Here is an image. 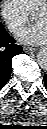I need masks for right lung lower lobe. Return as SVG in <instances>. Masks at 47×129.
<instances>
[{"instance_id":"right-lung-lower-lobe-1","label":"right lung lower lobe","mask_w":47,"mask_h":129,"mask_svg":"<svg viewBox=\"0 0 47 129\" xmlns=\"http://www.w3.org/2000/svg\"><path fill=\"white\" fill-rule=\"evenodd\" d=\"M22 52V47L15 44L0 23V89L7 83L12 71V58Z\"/></svg>"}]
</instances>
